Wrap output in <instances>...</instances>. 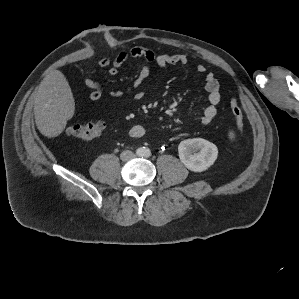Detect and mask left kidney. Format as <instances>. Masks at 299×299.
Here are the masks:
<instances>
[{
  "label": "left kidney",
  "instance_id": "5707ae66",
  "mask_svg": "<svg viewBox=\"0 0 299 299\" xmlns=\"http://www.w3.org/2000/svg\"><path fill=\"white\" fill-rule=\"evenodd\" d=\"M181 162L191 171L202 172L214 164L218 156L217 146L202 138L187 139L178 145Z\"/></svg>",
  "mask_w": 299,
  "mask_h": 299
}]
</instances>
